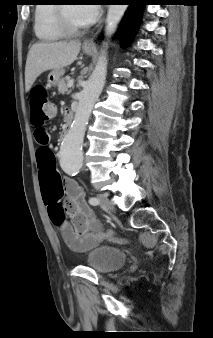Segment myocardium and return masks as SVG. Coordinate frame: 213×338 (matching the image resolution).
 <instances>
[{
	"label": "myocardium",
	"mask_w": 213,
	"mask_h": 338,
	"mask_svg": "<svg viewBox=\"0 0 213 338\" xmlns=\"http://www.w3.org/2000/svg\"><path fill=\"white\" fill-rule=\"evenodd\" d=\"M67 5H57L56 10H57V26L60 29V31L66 35V36H78L82 33H84L88 27H81V28H77L75 26H73L66 15V8Z\"/></svg>",
	"instance_id": "f54148a6"
}]
</instances>
